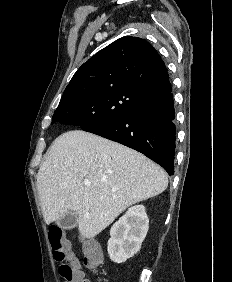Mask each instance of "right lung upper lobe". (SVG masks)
<instances>
[{
    "label": "right lung upper lobe",
    "mask_w": 232,
    "mask_h": 282,
    "mask_svg": "<svg viewBox=\"0 0 232 282\" xmlns=\"http://www.w3.org/2000/svg\"><path fill=\"white\" fill-rule=\"evenodd\" d=\"M171 88L165 63L144 39L123 37L85 62L67 85L61 101L110 89H129L150 99Z\"/></svg>",
    "instance_id": "1"
}]
</instances>
